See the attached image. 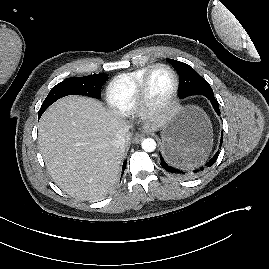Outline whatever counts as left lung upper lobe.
Instances as JSON below:
<instances>
[{
	"label": "left lung upper lobe",
	"instance_id": "obj_1",
	"mask_svg": "<svg viewBox=\"0 0 269 269\" xmlns=\"http://www.w3.org/2000/svg\"><path fill=\"white\" fill-rule=\"evenodd\" d=\"M177 70L180 78L179 97L185 98L191 95L213 94L208 82L201 77L191 66L186 63L167 59Z\"/></svg>",
	"mask_w": 269,
	"mask_h": 269
}]
</instances>
